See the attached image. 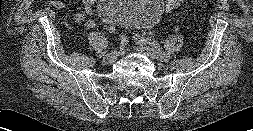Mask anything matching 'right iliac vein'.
Returning a JSON list of instances; mask_svg holds the SVG:
<instances>
[{
    "instance_id": "63e3f726",
    "label": "right iliac vein",
    "mask_w": 253,
    "mask_h": 131,
    "mask_svg": "<svg viewBox=\"0 0 253 131\" xmlns=\"http://www.w3.org/2000/svg\"><path fill=\"white\" fill-rule=\"evenodd\" d=\"M119 54H120V51L114 50L108 53L107 55H105V57L103 58V61L105 63L112 64L115 61V59L119 56Z\"/></svg>"
}]
</instances>
